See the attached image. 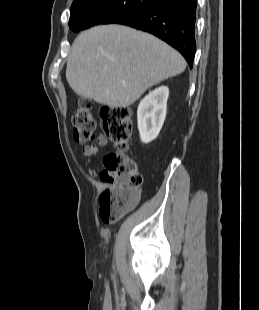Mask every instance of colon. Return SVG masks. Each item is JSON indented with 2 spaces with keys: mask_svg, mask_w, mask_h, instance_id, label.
Here are the masks:
<instances>
[{
  "mask_svg": "<svg viewBox=\"0 0 259 310\" xmlns=\"http://www.w3.org/2000/svg\"><path fill=\"white\" fill-rule=\"evenodd\" d=\"M105 136L115 145L116 151L104 156L102 180L109 185L99 197V217L105 224L119 221L138 200L142 175L133 158L125 151L133 131L130 109L105 108L101 112ZM96 122L91 103L82 100L73 116V138L83 144L94 139Z\"/></svg>",
  "mask_w": 259,
  "mask_h": 310,
  "instance_id": "5ec220e1",
  "label": "colon"
}]
</instances>
